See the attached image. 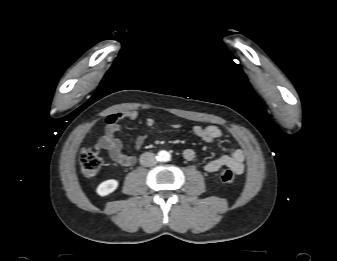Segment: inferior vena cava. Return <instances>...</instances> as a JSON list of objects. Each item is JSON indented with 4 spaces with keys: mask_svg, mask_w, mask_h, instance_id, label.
Masks as SVG:
<instances>
[{
    "mask_svg": "<svg viewBox=\"0 0 337 261\" xmlns=\"http://www.w3.org/2000/svg\"><path fill=\"white\" fill-rule=\"evenodd\" d=\"M140 164L145 167H150L156 164L155 154L151 152H145L140 156Z\"/></svg>",
    "mask_w": 337,
    "mask_h": 261,
    "instance_id": "1",
    "label": "inferior vena cava"
}]
</instances>
